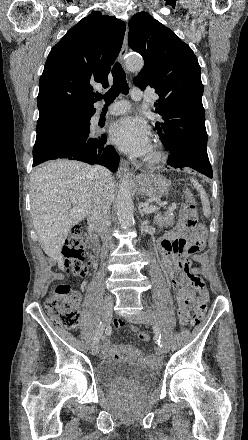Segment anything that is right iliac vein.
I'll return each instance as SVG.
<instances>
[{"mask_svg":"<svg viewBox=\"0 0 248 440\" xmlns=\"http://www.w3.org/2000/svg\"><path fill=\"white\" fill-rule=\"evenodd\" d=\"M114 301L111 297H106L103 303L102 308V319L104 322V326L107 325L112 317V309H113ZM100 350V344L99 342L93 343L90 347V351L92 355H96L99 353Z\"/></svg>","mask_w":248,"mask_h":440,"instance_id":"obj_1","label":"right iliac vein"}]
</instances>
